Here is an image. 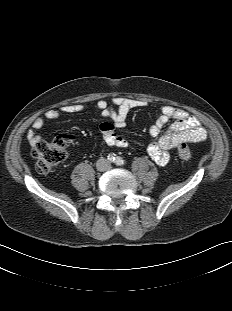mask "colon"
<instances>
[{
    "label": "colon",
    "instance_id": "5ec220e1",
    "mask_svg": "<svg viewBox=\"0 0 232 311\" xmlns=\"http://www.w3.org/2000/svg\"><path fill=\"white\" fill-rule=\"evenodd\" d=\"M67 150L68 142L66 137L58 136L51 141H38L32 149L37 170L45 173L55 168L65 160ZM177 154L182 161H189L192 157L191 149L186 144L179 145Z\"/></svg>",
    "mask_w": 232,
    "mask_h": 311
}]
</instances>
